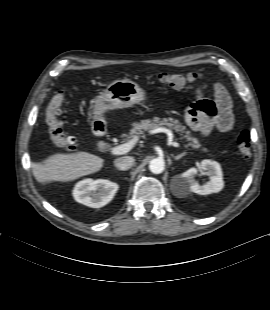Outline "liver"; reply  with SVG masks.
I'll use <instances>...</instances> for the list:
<instances>
[{
    "label": "liver",
    "instance_id": "1",
    "mask_svg": "<svg viewBox=\"0 0 270 310\" xmlns=\"http://www.w3.org/2000/svg\"><path fill=\"white\" fill-rule=\"evenodd\" d=\"M103 164L102 158L84 151L56 153L42 162H34L32 172L41 184L68 182L100 171Z\"/></svg>",
    "mask_w": 270,
    "mask_h": 310
}]
</instances>
